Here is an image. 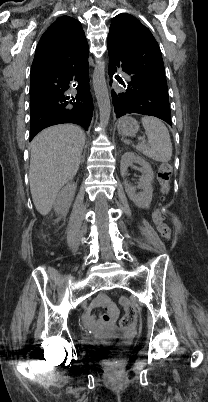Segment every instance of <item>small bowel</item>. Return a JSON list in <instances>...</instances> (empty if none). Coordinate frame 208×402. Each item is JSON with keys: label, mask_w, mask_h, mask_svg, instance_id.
Returning a JSON list of instances; mask_svg holds the SVG:
<instances>
[{"label": "small bowel", "mask_w": 208, "mask_h": 402, "mask_svg": "<svg viewBox=\"0 0 208 402\" xmlns=\"http://www.w3.org/2000/svg\"><path fill=\"white\" fill-rule=\"evenodd\" d=\"M97 300L94 302V305L97 306H103L107 310H105L104 314L100 315V320L98 323V318L96 315H92V312L90 310H87L85 312L86 317V322L84 323V328L86 330H94L96 327L97 323V328L99 330H109L111 328V324H114L116 321V308L113 305V303L110 301L108 298V294L106 292H100L97 295ZM108 300V303H104L103 301Z\"/></svg>", "instance_id": "c3829d8e"}]
</instances>
